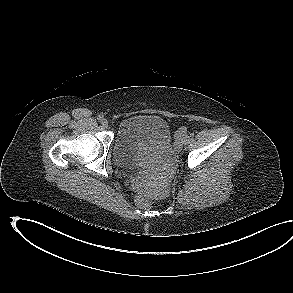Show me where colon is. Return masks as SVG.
I'll use <instances>...</instances> for the list:
<instances>
[{
    "instance_id": "colon-1",
    "label": "colon",
    "mask_w": 293,
    "mask_h": 293,
    "mask_svg": "<svg viewBox=\"0 0 293 293\" xmlns=\"http://www.w3.org/2000/svg\"><path fill=\"white\" fill-rule=\"evenodd\" d=\"M136 204L141 208H149L154 205L153 202L145 198L142 192H139L138 195L136 196Z\"/></svg>"
}]
</instances>
